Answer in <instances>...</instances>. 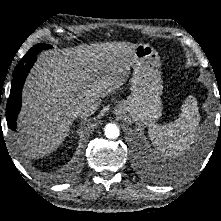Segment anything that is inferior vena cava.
<instances>
[{"instance_id":"obj_1","label":"inferior vena cava","mask_w":221,"mask_h":221,"mask_svg":"<svg viewBox=\"0 0 221 221\" xmlns=\"http://www.w3.org/2000/svg\"><path fill=\"white\" fill-rule=\"evenodd\" d=\"M96 106L94 104L85 102L81 103L76 107L75 113L78 117L86 118L96 111Z\"/></svg>"}]
</instances>
